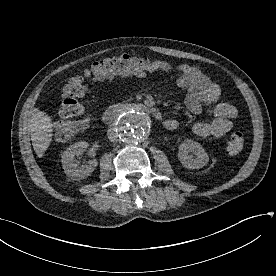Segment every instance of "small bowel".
Segmentation results:
<instances>
[{"mask_svg": "<svg viewBox=\"0 0 276 276\" xmlns=\"http://www.w3.org/2000/svg\"><path fill=\"white\" fill-rule=\"evenodd\" d=\"M166 72L178 74L176 84L186 90L184 103L195 114L207 111L213 120L198 122L193 126V132L200 137H222L231 131L232 120L238 115V109L229 103L218 102L221 90L199 68L188 64L174 65L165 60L151 61L150 72ZM168 130H175L179 126L176 119L164 121Z\"/></svg>", "mask_w": 276, "mask_h": 276, "instance_id": "1", "label": "small bowel"}]
</instances>
